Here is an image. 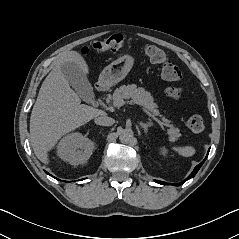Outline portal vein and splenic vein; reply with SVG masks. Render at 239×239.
Here are the masks:
<instances>
[{
    "label": "portal vein and splenic vein",
    "mask_w": 239,
    "mask_h": 239,
    "mask_svg": "<svg viewBox=\"0 0 239 239\" xmlns=\"http://www.w3.org/2000/svg\"><path fill=\"white\" fill-rule=\"evenodd\" d=\"M122 105H124V101L123 100H116L113 102V106L115 107H121ZM142 110L149 115L150 117H152L162 128L164 126V123L161 122L159 119H157L156 117H154L149 111H147L146 109L142 108Z\"/></svg>",
    "instance_id": "1"
}]
</instances>
